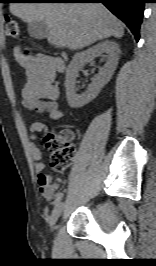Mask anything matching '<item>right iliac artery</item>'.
Wrapping results in <instances>:
<instances>
[{
  "instance_id": "obj_1",
  "label": "right iliac artery",
  "mask_w": 156,
  "mask_h": 266,
  "mask_svg": "<svg viewBox=\"0 0 156 266\" xmlns=\"http://www.w3.org/2000/svg\"><path fill=\"white\" fill-rule=\"evenodd\" d=\"M62 198H63V193L62 192L58 193L55 197L54 204L57 205L62 200Z\"/></svg>"
}]
</instances>
